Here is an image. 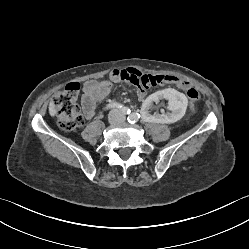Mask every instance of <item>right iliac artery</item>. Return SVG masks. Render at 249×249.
<instances>
[{
	"label": "right iliac artery",
	"instance_id": "82829eb1",
	"mask_svg": "<svg viewBox=\"0 0 249 249\" xmlns=\"http://www.w3.org/2000/svg\"><path fill=\"white\" fill-rule=\"evenodd\" d=\"M118 108L120 109V111L124 114V115H127V114H130V109L128 107H125L123 106L122 104L120 103H113V104H108L105 108L106 109H111V108Z\"/></svg>",
	"mask_w": 249,
	"mask_h": 249
}]
</instances>
